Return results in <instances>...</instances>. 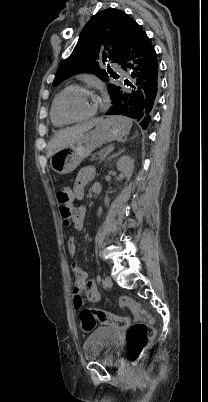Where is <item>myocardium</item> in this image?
Segmentation results:
<instances>
[{"instance_id":"myocardium-1","label":"myocardium","mask_w":208,"mask_h":402,"mask_svg":"<svg viewBox=\"0 0 208 402\" xmlns=\"http://www.w3.org/2000/svg\"><path fill=\"white\" fill-rule=\"evenodd\" d=\"M72 89H82V90H89L88 86L86 85H79V84H73V85H69L66 88H64L57 96V108L58 111L60 113V115L67 121H71V122H78V121H86L89 120L90 118H92L97 112L98 110L104 106L105 102H106V98H105V94L103 93L102 89L99 88L101 95L98 96V103L96 104V106L87 114L85 115H81V116H72L70 114H68L62 107L61 104V100L62 97L70 90Z\"/></svg>"}]
</instances>
